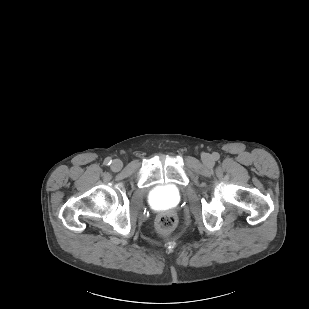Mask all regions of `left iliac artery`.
<instances>
[{
	"label": "left iliac artery",
	"instance_id": "44dca946",
	"mask_svg": "<svg viewBox=\"0 0 309 309\" xmlns=\"http://www.w3.org/2000/svg\"><path fill=\"white\" fill-rule=\"evenodd\" d=\"M214 159H218V155L217 154H214Z\"/></svg>",
	"mask_w": 309,
	"mask_h": 309
}]
</instances>
